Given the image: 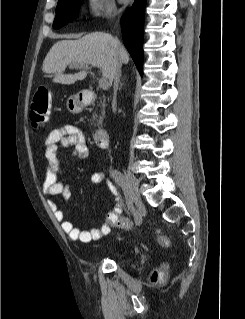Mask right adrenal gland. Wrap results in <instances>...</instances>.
<instances>
[{
  "label": "right adrenal gland",
  "mask_w": 245,
  "mask_h": 319,
  "mask_svg": "<svg viewBox=\"0 0 245 319\" xmlns=\"http://www.w3.org/2000/svg\"><path fill=\"white\" fill-rule=\"evenodd\" d=\"M122 85H123V83L121 82V83H120V89L122 88Z\"/></svg>",
  "instance_id": "1"
}]
</instances>
